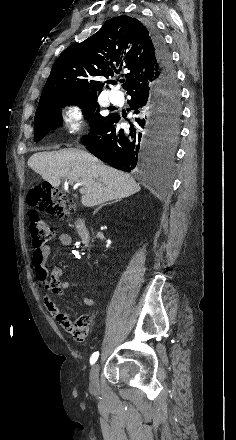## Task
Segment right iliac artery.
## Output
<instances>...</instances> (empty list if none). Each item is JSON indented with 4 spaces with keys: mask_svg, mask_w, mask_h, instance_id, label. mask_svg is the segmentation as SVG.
Segmentation results:
<instances>
[{
    "mask_svg": "<svg viewBox=\"0 0 236 440\" xmlns=\"http://www.w3.org/2000/svg\"><path fill=\"white\" fill-rule=\"evenodd\" d=\"M98 357H99V352L98 351L94 352L90 358V364L91 365L94 364L97 361Z\"/></svg>",
    "mask_w": 236,
    "mask_h": 440,
    "instance_id": "1",
    "label": "right iliac artery"
}]
</instances>
